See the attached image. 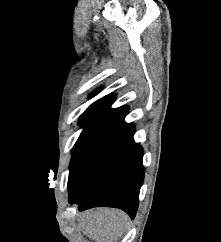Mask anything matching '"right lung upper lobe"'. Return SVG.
Returning <instances> with one entry per match:
<instances>
[{"label":"right lung upper lobe","mask_w":221,"mask_h":242,"mask_svg":"<svg viewBox=\"0 0 221 242\" xmlns=\"http://www.w3.org/2000/svg\"><path fill=\"white\" fill-rule=\"evenodd\" d=\"M94 91L91 96L97 94ZM115 95L109 94L91 104L80 117V125H95L102 127L128 111L127 106L112 109L111 105L115 101Z\"/></svg>","instance_id":"right-lung-upper-lobe-1"}]
</instances>
